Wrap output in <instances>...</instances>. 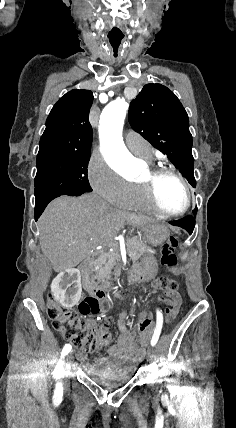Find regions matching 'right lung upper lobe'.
Wrapping results in <instances>:
<instances>
[{"instance_id":"obj_1","label":"right lung upper lobe","mask_w":236,"mask_h":428,"mask_svg":"<svg viewBox=\"0 0 236 428\" xmlns=\"http://www.w3.org/2000/svg\"><path fill=\"white\" fill-rule=\"evenodd\" d=\"M93 101L89 90H71L52 108L38 153H90L93 131L88 114Z\"/></svg>"}]
</instances>
